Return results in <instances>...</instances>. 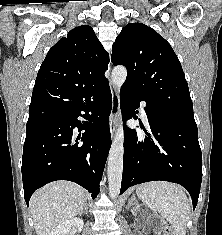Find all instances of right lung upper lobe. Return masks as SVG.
Listing matches in <instances>:
<instances>
[{"instance_id":"cb5924a9","label":"right lung upper lobe","mask_w":222,"mask_h":235,"mask_svg":"<svg viewBox=\"0 0 222 235\" xmlns=\"http://www.w3.org/2000/svg\"><path fill=\"white\" fill-rule=\"evenodd\" d=\"M109 56L88 25L75 27L61 38L47 53L33 88L28 122L51 119L50 102L39 95L52 89L57 96L91 86L106 78Z\"/></svg>"}]
</instances>
